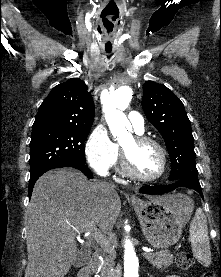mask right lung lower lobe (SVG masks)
<instances>
[{
  "label": "right lung lower lobe",
  "mask_w": 221,
  "mask_h": 277,
  "mask_svg": "<svg viewBox=\"0 0 221 277\" xmlns=\"http://www.w3.org/2000/svg\"><path fill=\"white\" fill-rule=\"evenodd\" d=\"M62 167H73V168H76V169L80 170L81 172H83L88 178H90V179L93 178V175H92L91 171L89 170V168L84 163L68 162V163L62 164L60 166H57L56 168H62ZM43 173H45V172H43ZM42 174H40V175H38L36 177H31L30 178V181H29V197H31L32 190H33L35 182L37 181V179Z\"/></svg>",
  "instance_id": "98d812e1"
}]
</instances>
